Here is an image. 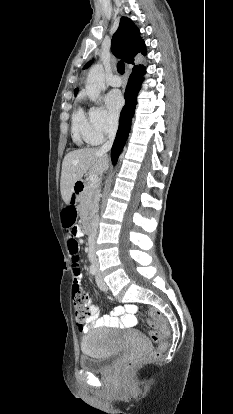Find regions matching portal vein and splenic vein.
Returning a JSON list of instances; mask_svg holds the SVG:
<instances>
[{"label": "portal vein and splenic vein", "mask_w": 233, "mask_h": 414, "mask_svg": "<svg viewBox=\"0 0 233 414\" xmlns=\"http://www.w3.org/2000/svg\"><path fill=\"white\" fill-rule=\"evenodd\" d=\"M78 162H75V164H77ZM89 181L92 183V184H97L98 183V181H99V179H98V176L97 175H94V174H90L89 175Z\"/></svg>", "instance_id": "obj_1"}]
</instances>
